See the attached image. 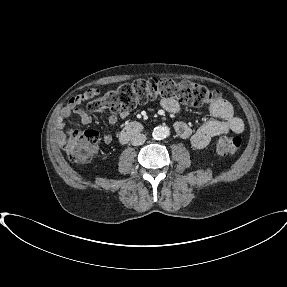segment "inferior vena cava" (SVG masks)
Returning <instances> with one entry per match:
<instances>
[{
    "label": "inferior vena cava",
    "mask_w": 287,
    "mask_h": 287,
    "mask_svg": "<svg viewBox=\"0 0 287 287\" xmlns=\"http://www.w3.org/2000/svg\"><path fill=\"white\" fill-rule=\"evenodd\" d=\"M146 141V136L141 133H137L132 136L131 138V144L133 146H139L142 145Z\"/></svg>",
    "instance_id": "1"
}]
</instances>
